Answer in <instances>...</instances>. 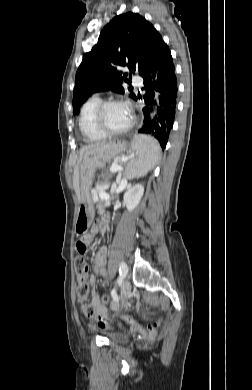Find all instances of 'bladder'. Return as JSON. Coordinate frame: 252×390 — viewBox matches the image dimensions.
I'll list each match as a JSON object with an SVG mask.
<instances>
[{
  "mask_svg": "<svg viewBox=\"0 0 252 390\" xmlns=\"http://www.w3.org/2000/svg\"><path fill=\"white\" fill-rule=\"evenodd\" d=\"M106 336L114 342H125L128 340V336L125 333L117 330H108Z\"/></svg>",
  "mask_w": 252,
  "mask_h": 390,
  "instance_id": "bladder-1",
  "label": "bladder"
}]
</instances>
